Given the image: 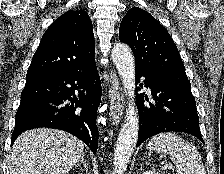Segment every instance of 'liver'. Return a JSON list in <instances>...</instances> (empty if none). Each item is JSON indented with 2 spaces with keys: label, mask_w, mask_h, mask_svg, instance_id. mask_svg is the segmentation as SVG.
<instances>
[{
  "label": "liver",
  "mask_w": 224,
  "mask_h": 174,
  "mask_svg": "<svg viewBox=\"0 0 224 174\" xmlns=\"http://www.w3.org/2000/svg\"><path fill=\"white\" fill-rule=\"evenodd\" d=\"M84 143L62 130L38 128L22 133L9 157V174H68L81 159Z\"/></svg>",
  "instance_id": "obj_1"
}]
</instances>
